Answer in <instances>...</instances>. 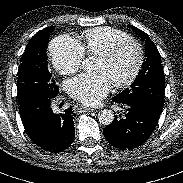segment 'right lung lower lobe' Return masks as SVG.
Masks as SVG:
<instances>
[{
  "label": "right lung lower lobe",
  "instance_id": "1",
  "mask_svg": "<svg viewBox=\"0 0 183 183\" xmlns=\"http://www.w3.org/2000/svg\"><path fill=\"white\" fill-rule=\"evenodd\" d=\"M54 97L32 96L19 105L25 131L31 141L50 153L67 149L75 137L72 108L54 114L50 105Z\"/></svg>",
  "mask_w": 183,
  "mask_h": 183
}]
</instances>
